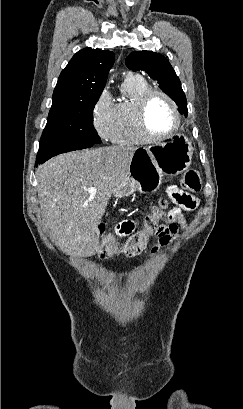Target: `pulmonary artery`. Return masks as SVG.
<instances>
[{
	"label": "pulmonary artery",
	"instance_id": "e3ab8cb5",
	"mask_svg": "<svg viewBox=\"0 0 243 409\" xmlns=\"http://www.w3.org/2000/svg\"><path fill=\"white\" fill-rule=\"evenodd\" d=\"M127 77H137V76H133V75L129 74Z\"/></svg>",
	"mask_w": 243,
	"mask_h": 409
}]
</instances>
